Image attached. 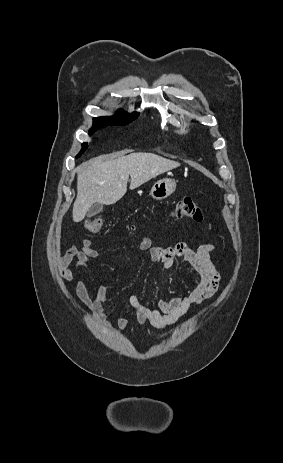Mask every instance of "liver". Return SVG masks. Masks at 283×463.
Here are the masks:
<instances>
[{"label":"liver","instance_id":"liver-1","mask_svg":"<svg viewBox=\"0 0 283 463\" xmlns=\"http://www.w3.org/2000/svg\"><path fill=\"white\" fill-rule=\"evenodd\" d=\"M180 166V163L153 153H131L118 158L97 157L78 167L77 197L73 204V221L80 222L94 204L111 205L127 191Z\"/></svg>","mask_w":283,"mask_h":463}]
</instances>
